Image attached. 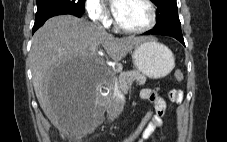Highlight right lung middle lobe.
Instances as JSON below:
<instances>
[{"label":"right lung middle lobe","mask_w":227,"mask_h":142,"mask_svg":"<svg viewBox=\"0 0 227 142\" xmlns=\"http://www.w3.org/2000/svg\"><path fill=\"white\" fill-rule=\"evenodd\" d=\"M85 0H37L36 18L60 11L84 13Z\"/></svg>","instance_id":"obj_1"}]
</instances>
